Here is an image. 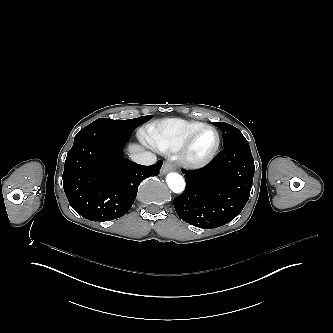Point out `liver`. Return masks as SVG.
I'll list each match as a JSON object with an SVG mask.
<instances>
[{"label":"liver","mask_w":333,"mask_h":333,"mask_svg":"<svg viewBox=\"0 0 333 333\" xmlns=\"http://www.w3.org/2000/svg\"><path fill=\"white\" fill-rule=\"evenodd\" d=\"M140 150V148L138 146H131L130 147V152L131 153H135L138 152Z\"/></svg>","instance_id":"1"}]
</instances>
